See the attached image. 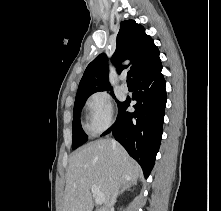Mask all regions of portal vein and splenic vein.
I'll use <instances>...</instances> for the list:
<instances>
[{"label": "portal vein and splenic vein", "instance_id": "1", "mask_svg": "<svg viewBox=\"0 0 221 211\" xmlns=\"http://www.w3.org/2000/svg\"><path fill=\"white\" fill-rule=\"evenodd\" d=\"M91 191L97 204H102L105 201L104 194L97 188V186H92Z\"/></svg>", "mask_w": 221, "mask_h": 211}]
</instances>
